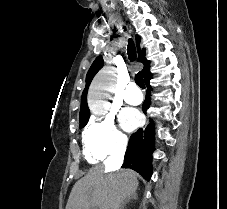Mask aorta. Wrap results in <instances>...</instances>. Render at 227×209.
<instances>
[{
  "label": "aorta",
  "instance_id": "obj_1",
  "mask_svg": "<svg viewBox=\"0 0 227 209\" xmlns=\"http://www.w3.org/2000/svg\"><path fill=\"white\" fill-rule=\"evenodd\" d=\"M115 69L105 66L94 78L88 94V104L92 113L105 114L110 105L108 99L115 88Z\"/></svg>",
  "mask_w": 227,
  "mask_h": 209
}]
</instances>
